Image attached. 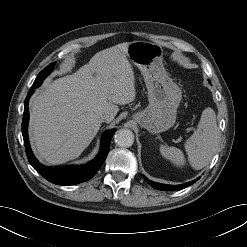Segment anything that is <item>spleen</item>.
Returning a JSON list of instances; mask_svg holds the SVG:
<instances>
[{
  "label": "spleen",
  "instance_id": "1",
  "mask_svg": "<svg viewBox=\"0 0 247 247\" xmlns=\"http://www.w3.org/2000/svg\"><path fill=\"white\" fill-rule=\"evenodd\" d=\"M219 138L215 112L212 108H206L198 124V130L185 143L189 163L194 169H202L211 161ZM160 153L176 166L180 167L185 163L184 155L178 148L162 145Z\"/></svg>",
  "mask_w": 247,
  "mask_h": 247
}]
</instances>
